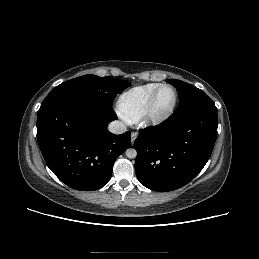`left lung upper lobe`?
Segmentation results:
<instances>
[{
	"instance_id": "obj_1",
	"label": "left lung upper lobe",
	"mask_w": 259,
	"mask_h": 259,
	"mask_svg": "<svg viewBox=\"0 0 259 259\" xmlns=\"http://www.w3.org/2000/svg\"><path fill=\"white\" fill-rule=\"evenodd\" d=\"M168 83L178 90L180 101L175 111H181L197 106L216 108L215 103L197 87L177 79H169Z\"/></svg>"
}]
</instances>
